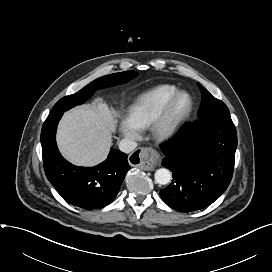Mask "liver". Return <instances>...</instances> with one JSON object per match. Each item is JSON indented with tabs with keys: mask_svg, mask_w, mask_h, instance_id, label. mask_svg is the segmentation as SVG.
I'll return each mask as SVG.
<instances>
[{
	"mask_svg": "<svg viewBox=\"0 0 272 272\" xmlns=\"http://www.w3.org/2000/svg\"><path fill=\"white\" fill-rule=\"evenodd\" d=\"M116 124V112L105 101L73 108L58 126V147L75 165H97L109 153Z\"/></svg>",
	"mask_w": 272,
	"mask_h": 272,
	"instance_id": "1",
	"label": "liver"
}]
</instances>
